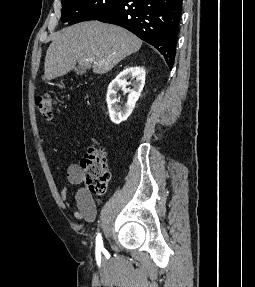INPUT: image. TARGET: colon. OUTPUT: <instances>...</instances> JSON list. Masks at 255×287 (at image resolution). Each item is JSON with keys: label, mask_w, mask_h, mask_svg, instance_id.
<instances>
[{"label": "colon", "mask_w": 255, "mask_h": 287, "mask_svg": "<svg viewBox=\"0 0 255 287\" xmlns=\"http://www.w3.org/2000/svg\"><path fill=\"white\" fill-rule=\"evenodd\" d=\"M55 98L44 94L36 98V107L47 120L54 117ZM84 170V181L90 192L102 194L106 191L110 178L106 155L102 149L90 147L81 161Z\"/></svg>", "instance_id": "colon-1"}]
</instances>
